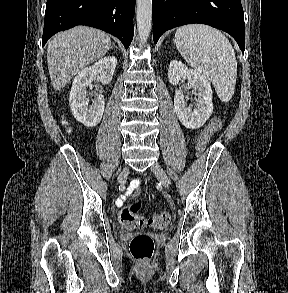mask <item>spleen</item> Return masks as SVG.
<instances>
[{
  "instance_id": "3e777b00",
  "label": "spleen",
  "mask_w": 288,
  "mask_h": 293,
  "mask_svg": "<svg viewBox=\"0 0 288 293\" xmlns=\"http://www.w3.org/2000/svg\"><path fill=\"white\" fill-rule=\"evenodd\" d=\"M174 41L185 61L212 82L222 101H229L235 90L237 61L227 37L208 25L192 24L179 27Z\"/></svg>"
}]
</instances>
